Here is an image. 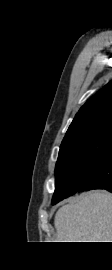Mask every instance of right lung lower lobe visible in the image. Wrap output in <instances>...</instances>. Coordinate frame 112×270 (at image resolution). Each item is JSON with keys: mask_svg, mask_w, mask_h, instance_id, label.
<instances>
[{"mask_svg": "<svg viewBox=\"0 0 112 270\" xmlns=\"http://www.w3.org/2000/svg\"><path fill=\"white\" fill-rule=\"evenodd\" d=\"M81 181L83 191L105 189L112 192V143L104 155L84 172Z\"/></svg>", "mask_w": 112, "mask_h": 270, "instance_id": "right-lung-lower-lobe-1", "label": "right lung lower lobe"}]
</instances>
